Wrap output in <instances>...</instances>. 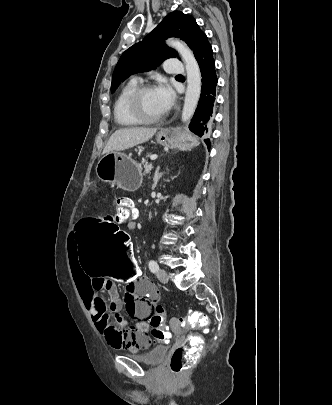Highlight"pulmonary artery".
Wrapping results in <instances>:
<instances>
[{"instance_id": "obj_1", "label": "pulmonary artery", "mask_w": 332, "mask_h": 405, "mask_svg": "<svg viewBox=\"0 0 332 405\" xmlns=\"http://www.w3.org/2000/svg\"><path fill=\"white\" fill-rule=\"evenodd\" d=\"M164 70L169 74L181 75L184 72V68L180 61L175 58H171L165 61Z\"/></svg>"}]
</instances>
